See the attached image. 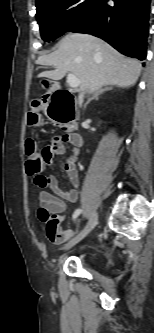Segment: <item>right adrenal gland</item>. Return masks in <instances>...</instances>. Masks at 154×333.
Instances as JSON below:
<instances>
[{
    "instance_id": "right-adrenal-gland-1",
    "label": "right adrenal gland",
    "mask_w": 154,
    "mask_h": 333,
    "mask_svg": "<svg viewBox=\"0 0 154 333\" xmlns=\"http://www.w3.org/2000/svg\"><path fill=\"white\" fill-rule=\"evenodd\" d=\"M111 89H112V87H108V86H106V87H104V88H101V89L97 90V91L93 94V96H92L90 99H88V101H87L86 104H85V107H86V105H87L91 100H93V99H98V97H99L102 93H104L105 91L111 90Z\"/></svg>"
}]
</instances>
